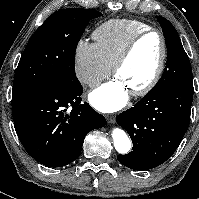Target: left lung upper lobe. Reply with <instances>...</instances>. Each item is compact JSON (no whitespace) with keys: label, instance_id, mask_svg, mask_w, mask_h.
Here are the masks:
<instances>
[{"label":"left lung upper lobe","instance_id":"obj_1","mask_svg":"<svg viewBox=\"0 0 199 199\" xmlns=\"http://www.w3.org/2000/svg\"><path fill=\"white\" fill-rule=\"evenodd\" d=\"M157 19L163 30L167 51V65L162 78L149 93H161L176 86H193L190 60L174 26L162 16Z\"/></svg>","mask_w":199,"mask_h":199}]
</instances>
